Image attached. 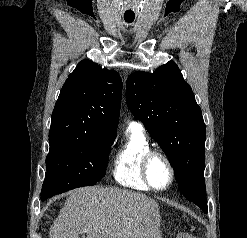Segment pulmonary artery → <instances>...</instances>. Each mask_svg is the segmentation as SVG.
<instances>
[{
	"label": "pulmonary artery",
	"instance_id": "obj_1",
	"mask_svg": "<svg viewBox=\"0 0 247 238\" xmlns=\"http://www.w3.org/2000/svg\"><path fill=\"white\" fill-rule=\"evenodd\" d=\"M130 125H136V126L142 128V124L140 122L133 121Z\"/></svg>",
	"mask_w": 247,
	"mask_h": 238
}]
</instances>
